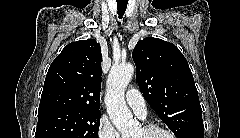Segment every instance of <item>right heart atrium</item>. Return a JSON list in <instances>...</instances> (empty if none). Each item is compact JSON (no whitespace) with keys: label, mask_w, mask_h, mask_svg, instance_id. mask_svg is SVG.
Masks as SVG:
<instances>
[{"label":"right heart atrium","mask_w":240,"mask_h":138,"mask_svg":"<svg viewBox=\"0 0 240 138\" xmlns=\"http://www.w3.org/2000/svg\"><path fill=\"white\" fill-rule=\"evenodd\" d=\"M97 137L98 138H121L118 131L111 124V122L106 118H102L98 124Z\"/></svg>","instance_id":"d8ad5b80"}]
</instances>
